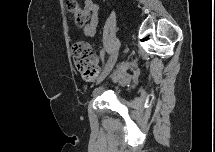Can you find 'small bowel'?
I'll return each mask as SVG.
<instances>
[{"label":"small bowel","mask_w":215,"mask_h":152,"mask_svg":"<svg viewBox=\"0 0 215 152\" xmlns=\"http://www.w3.org/2000/svg\"><path fill=\"white\" fill-rule=\"evenodd\" d=\"M84 11L88 12L90 15V20L83 28V34L86 37H93L96 33V29L99 23V5L91 0L85 2ZM124 79L128 84L134 85L135 80L130 73L123 74L121 70H117L114 76L115 80ZM90 81V80H89Z\"/></svg>","instance_id":"small-bowel-1"}]
</instances>
